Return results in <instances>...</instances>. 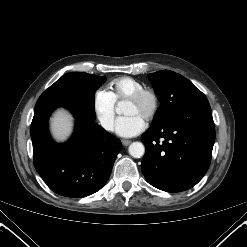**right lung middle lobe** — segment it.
Returning a JSON list of instances; mask_svg holds the SVG:
<instances>
[{
  "label": "right lung middle lobe",
  "mask_w": 247,
  "mask_h": 247,
  "mask_svg": "<svg viewBox=\"0 0 247 247\" xmlns=\"http://www.w3.org/2000/svg\"><path fill=\"white\" fill-rule=\"evenodd\" d=\"M106 80L102 76H94L87 73L72 72L63 75L44 93H66L89 95L94 97V92Z\"/></svg>",
  "instance_id": "dd1d6c3e"
}]
</instances>
